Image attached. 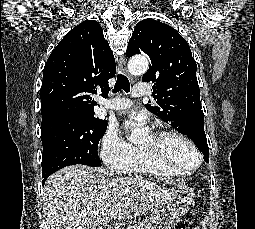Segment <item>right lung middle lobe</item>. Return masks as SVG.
<instances>
[{
    "label": "right lung middle lobe",
    "mask_w": 255,
    "mask_h": 229,
    "mask_svg": "<svg viewBox=\"0 0 255 229\" xmlns=\"http://www.w3.org/2000/svg\"><path fill=\"white\" fill-rule=\"evenodd\" d=\"M106 129L107 121L94 116L42 120V175L75 164L101 166L97 148Z\"/></svg>",
    "instance_id": "1"
}]
</instances>
